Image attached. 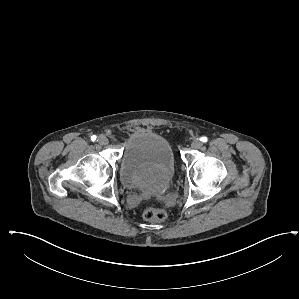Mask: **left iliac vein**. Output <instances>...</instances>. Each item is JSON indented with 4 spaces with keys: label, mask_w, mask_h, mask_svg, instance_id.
I'll return each instance as SVG.
<instances>
[{
    "label": "left iliac vein",
    "mask_w": 299,
    "mask_h": 299,
    "mask_svg": "<svg viewBox=\"0 0 299 299\" xmlns=\"http://www.w3.org/2000/svg\"><path fill=\"white\" fill-rule=\"evenodd\" d=\"M203 146L202 142L198 139H195L192 143H191V147L193 149H200Z\"/></svg>",
    "instance_id": "1"
}]
</instances>
